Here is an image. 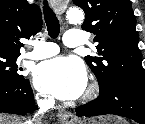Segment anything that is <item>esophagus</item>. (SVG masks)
Listing matches in <instances>:
<instances>
[{"mask_svg": "<svg viewBox=\"0 0 145 124\" xmlns=\"http://www.w3.org/2000/svg\"><path fill=\"white\" fill-rule=\"evenodd\" d=\"M57 12L60 14L61 10L57 9ZM57 116L60 122L64 124H73L76 121L74 115L66 111L65 109H59L57 112Z\"/></svg>", "mask_w": 145, "mask_h": 124, "instance_id": "esophagus-1", "label": "esophagus"}]
</instances>
